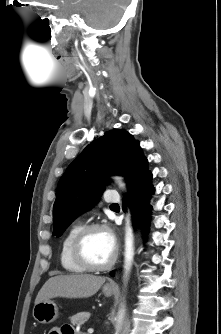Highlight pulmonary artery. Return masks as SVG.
Wrapping results in <instances>:
<instances>
[{"instance_id": "1", "label": "pulmonary artery", "mask_w": 221, "mask_h": 334, "mask_svg": "<svg viewBox=\"0 0 221 334\" xmlns=\"http://www.w3.org/2000/svg\"><path fill=\"white\" fill-rule=\"evenodd\" d=\"M105 200L107 202H117L118 201V197L113 195V190H108L107 194L105 196Z\"/></svg>"}]
</instances>
